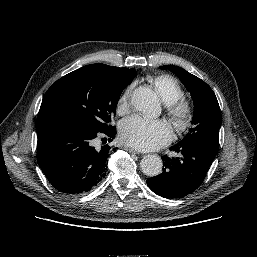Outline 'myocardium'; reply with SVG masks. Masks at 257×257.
I'll list each match as a JSON object with an SVG mask.
<instances>
[{
  "label": "myocardium",
  "instance_id": "f54148a6",
  "mask_svg": "<svg viewBox=\"0 0 257 257\" xmlns=\"http://www.w3.org/2000/svg\"><path fill=\"white\" fill-rule=\"evenodd\" d=\"M166 113L174 129L178 132L188 128L193 116L191 105L183 99L166 105Z\"/></svg>",
  "mask_w": 257,
  "mask_h": 257
}]
</instances>
